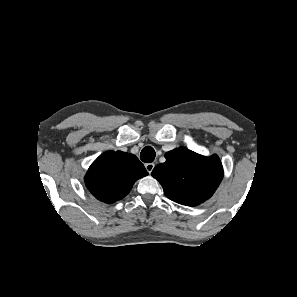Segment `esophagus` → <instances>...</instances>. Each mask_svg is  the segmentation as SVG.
<instances>
[{
    "label": "esophagus",
    "instance_id": "1",
    "mask_svg": "<svg viewBox=\"0 0 297 297\" xmlns=\"http://www.w3.org/2000/svg\"><path fill=\"white\" fill-rule=\"evenodd\" d=\"M154 166H155L154 163H146L145 164V168L149 173L152 172V170L154 169Z\"/></svg>",
    "mask_w": 297,
    "mask_h": 297
}]
</instances>
